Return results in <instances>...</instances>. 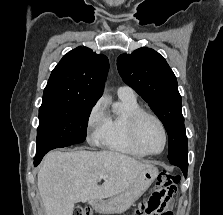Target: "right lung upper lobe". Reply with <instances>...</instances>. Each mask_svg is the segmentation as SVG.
Here are the masks:
<instances>
[{
	"instance_id": "right-lung-upper-lobe-1",
	"label": "right lung upper lobe",
	"mask_w": 223,
	"mask_h": 215,
	"mask_svg": "<svg viewBox=\"0 0 223 215\" xmlns=\"http://www.w3.org/2000/svg\"><path fill=\"white\" fill-rule=\"evenodd\" d=\"M109 69L108 58L86 47H77L53 69L43 100L96 103L103 92Z\"/></svg>"
}]
</instances>
